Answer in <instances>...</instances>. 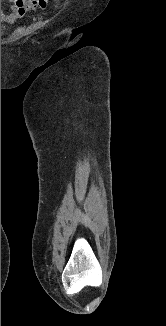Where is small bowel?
<instances>
[{"mask_svg":"<svg viewBox=\"0 0 166 326\" xmlns=\"http://www.w3.org/2000/svg\"><path fill=\"white\" fill-rule=\"evenodd\" d=\"M9 8L1 10V21L14 22L27 12H41L47 8L48 0H4Z\"/></svg>","mask_w":166,"mask_h":326,"instance_id":"obj_1","label":"small bowel"}]
</instances>
